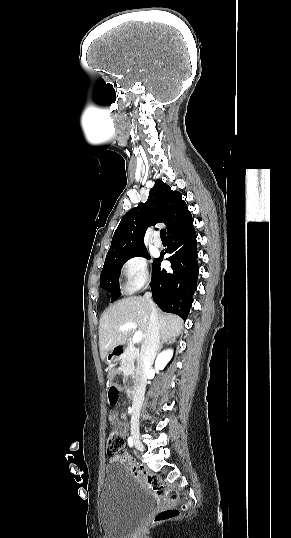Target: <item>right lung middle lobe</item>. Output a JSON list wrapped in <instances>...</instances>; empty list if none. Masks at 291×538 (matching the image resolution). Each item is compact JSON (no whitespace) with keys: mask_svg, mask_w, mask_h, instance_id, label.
Returning a JSON list of instances; mask_svg holds the SVG:
<instances>
[{"mask_svg":"<svg viewBox=\"0 0 291 538\" xmlns=\"http://www.w3.org/2000/svg\"><path fill=\"white\" fill-rule=\"evenodd\" d=\"M137 256L150 259L147 250L141 249L126 255L119 256L117 258L105 260L101 272L100 283L102 288L107 289L112 294V302L117 300L121 295L119 287V275L123 264L129 259Z\"/></svg>","mask_w":291,"mask_h":538,"instance_id":"dd1d6c3e","label":"right lung middle lobe"}]
</instances>
